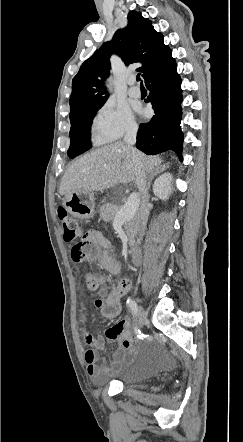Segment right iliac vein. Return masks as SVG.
Wrapping results in <instances>:
<instances>
[{"label":"right iliac vein","instance_id":"1","mask_svg":"<svg viewBox=\"0 0 243 442\" xmlns=\"http://www.w3.org/2000/svg\"><path fill=\"white\" fill-rule=\"evenodd\" d=\"M138 324L142 326L146 321V313L141 306H138Z\"/></svg>","mask_w":243,"mask_h":442}]
</instances>
